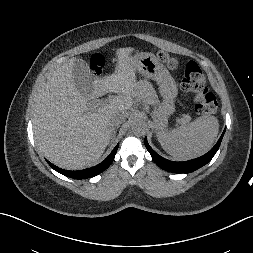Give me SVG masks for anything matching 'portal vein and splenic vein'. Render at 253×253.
I'll return each instance as SVG.
<instances>
[{
  "label": "portal vein and splenic vein",
  "mask_w": 253,
  "mask_h": 253,
  "mask_svg": "<svg viewBox=\"0 0 253 253\" xmlns=\"http://www.w3.org/2000/svg\"><path fill=\"white\" fill-rule=\"evenodd\" d=\"M96 105L100 106V105H102V103H101V102H97ZM186 119H189V120H190L191 117L188 116V115H184V118L178 119L177 122H178V123H183Z\"/></svg>",
  "instance_id": "1"
}]
</instances>
